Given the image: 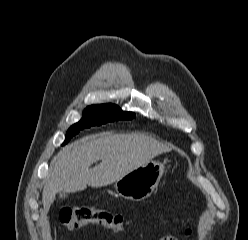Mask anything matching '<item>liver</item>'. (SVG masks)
Segmentation results:
<instances>
[{
  "label": "liver",
  "instance_id": "1",
  "mask_svg": "<svg viewBox=\"0 0 248 240\" xmlns=\"http://www.w3.org/2000/svg\"><path fill=\"white\" fill-rule=\"evenodd\" d=\"M170 149L144 134L89 135L64 147L50 164L42 202L48 213L59 192L75 193L110 185ZM101 160L93 168L90 166Z\"/></svg>",
  "mask_w": 248,
  "mask_h": 240
}]
</instances>
